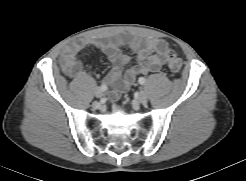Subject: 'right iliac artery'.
<instances>
[{"mask_svg": "<svg viewBox=\"0 0 246 181\" xmlns=\"http://www.w3.org/2000/svg\"><path fill=\"white\" fill-rule=\"evenodd\" d=\"M101 91L104 92L107 90V86L106 85H101L100 87Z\"/></svg>", "mask_w": 246, "mask_h": 181, "instance_id": "obj_1", "label": "right iliac artery"}]
</instances>
